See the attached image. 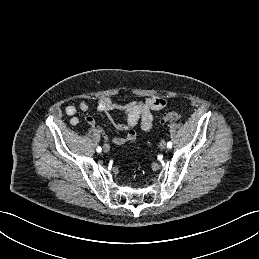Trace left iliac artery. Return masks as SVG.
Masks as SVG:
<instances>
[{
    "label": "left iliac artery",
    "mask_w": 259,
    "mask_h": 259,
    "mask_svg": "<svg viewBox=\"0 0 259 259\" xmlns=\"http://www.w3.org/2000/svg\"><path fill=\"white\" fill-rule=\"evenodd\" d=\"M171 147H172V142L169 141V142L167 143V148H171Z\"/></svg>",
    "instance_id": "left-iliac-artery-1"
}]
</instances>
